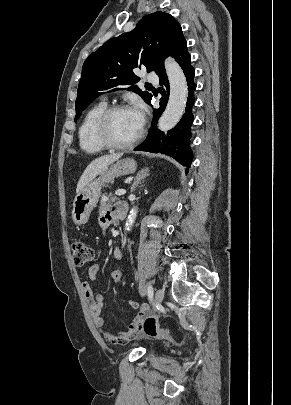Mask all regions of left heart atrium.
Wrapping results in <instances>:
<instances>
[{
	"label": "left heart atrium",
	"mask_w": 291,
	"mask_h": 405,
	"mask_svg": "<svg viewBox=\"0 0 291 405\" xmlns=\"http://www.w3.org/2000/svg\"><path fill=\"white\" fill-rule=\"evenodd\" d=\"M135 120L140 128H142L144 124V119H145V110L144 106L141 103H137L132 109H131Z\"/></svg>",
	"instance_id": "39dd6f15"
}]
</instances>
